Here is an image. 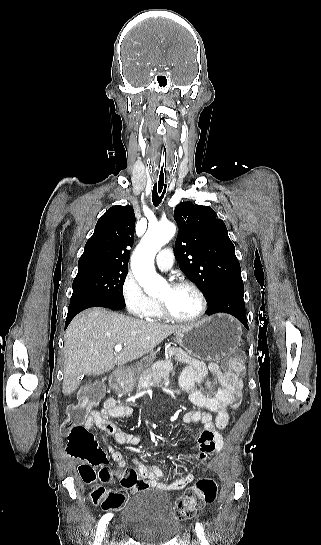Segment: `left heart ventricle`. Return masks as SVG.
Here are the masks:
<instances>
[{"instance_id": "b2bd125f", "label": "left heart ventricle", "mask_w": 321, "mask_h": 545, "mask_svg": "<svg viewBox=\"0 0 321 545\" xmlns=\"http://www.w3.org/2000/svg\"><path fill=\"white\" fill-rule=\"evenodd\" d=\"M159 304L184 318L193 317L200 308L199 297L193 290L188 288L173 290L169 285L164 288Z\"/></svg>"}]
</instances>
